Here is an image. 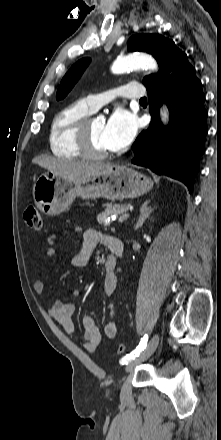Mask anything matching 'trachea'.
<instances>
[{"label":"trachea","instance_id":"1","mask_svg":"<svg viewBox=\"0 0 221 440\" xmlns=\"http://www.w3.org/2000/svg\"><path fill=\"white\" fill-rule=\"evenodd\" d=\"M140 102H147V99H146V97H144V98H141V99H140Z\"/></svg>","mask_w":221,"mask_h":440}]
</instances>
